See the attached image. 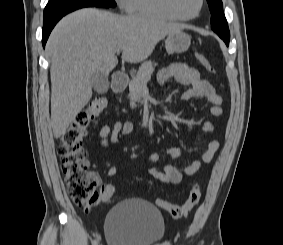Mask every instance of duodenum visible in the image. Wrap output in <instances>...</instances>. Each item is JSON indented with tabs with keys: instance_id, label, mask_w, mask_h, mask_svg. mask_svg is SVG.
<instances>
[{
	"instance_id": "1",
	"label": "duodenum",
	"mask_w": 283,
	"mask_h": 245,
	"mask_svg": "<svg viewBox=\"0 0 283 245\" xmlns=\"http://www.w3.org/2000/svg\"><path fill=\"white\" fill-rule=\"evenodd\" d=\"M128 83V76L125 73L117 72L113 76L112 89L115 92H122Z\"/></svg>"
}]
</instances>
